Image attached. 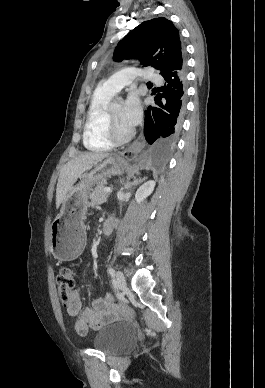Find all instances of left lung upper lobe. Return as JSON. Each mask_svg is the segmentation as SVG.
<instances>
[{
  "mask_svg": "<svg viewBox=\"0 0 265 388\" xmlns=\"http://www.w3.org/2000/svg\"><path fill=\"white\" fill-rule=\"evenodd\" d=\"M130 56L140 57L141 64L153 66L162 76L185 66L179 31L163 17L141 23L118 43L114 60Z\"/></svg>",
  "mask_w": 265,
  "mask_h": 388,
  "instance_id": "left-lung-upper-lobe-1",
  "label": "left lung upper lobe"
}]
</instances>
